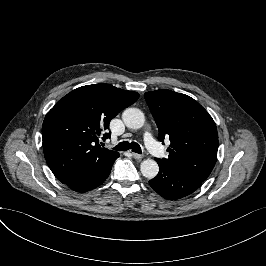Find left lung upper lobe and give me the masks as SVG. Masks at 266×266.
<instances>
[{
	"mask_svg": "<svg viewBox=\"0 0 266 266\" xmlns=\"http://www.w3.org/2000/svg\"><path fill=\"white\" fill-rule=\"evenodd\" d=\"M158 126V140L171 144L167 165L204 181L211 173L218 150L216 124L193 98L161 89L144 94Z\"/></svg>",
	"mask_w": 266,
	"mask_h": 266,
	"instance_id": "5c2ea615",
	"label": "left lung upper lobe"
}]
</instances>
